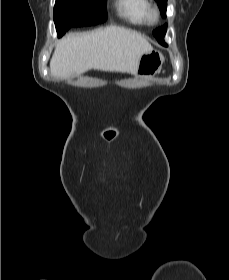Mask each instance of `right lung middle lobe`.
<instances>
[{
    "label": "right lung middle lobe",
    "mask_w": 229,
    "mask_h": 280,
    "mask_svg": "<svg viewBox=\"0 0 229 280\" xmlns=\"http://www.w3.org/2000/svg\"><path fill=\"white\" fill-rule=\"evenodd\" d=\"M107 0H56L54 22L58 36L69 28L105 22Z\"/></svg>",
    "instance_id": "1"
}]
</instances>
